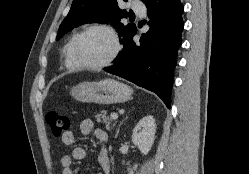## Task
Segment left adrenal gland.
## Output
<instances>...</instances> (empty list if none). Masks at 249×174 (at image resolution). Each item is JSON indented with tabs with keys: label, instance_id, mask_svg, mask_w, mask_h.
I'll return each mask as SVG.
<instances>
[{
	"label": "left adrenal gland",
	"instance_id": "1",
	"mask_svg": "<svg viewBox=\"0 0 249 174\" xmlns=\"http://www.w3.org/2000/svg\"><path fill=\"white\" fill-rule=\"evenodd\" d=\"M122 123H123V122H121L120 125H121ZM118 134H119V128H118V130H117L116 137L118 136Z\"/></svg>",
	"mask_w": 249,
	"mask_h": 174
}]
</instances>
